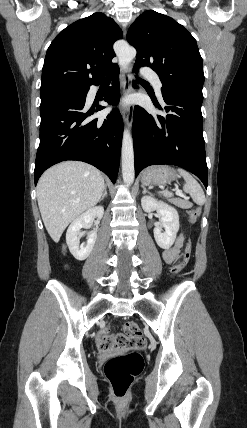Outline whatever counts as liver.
Returning <instances> with one entry per match:
<instances>
[{
    "label": "liver",
    "mask_w": 247,
    "mask_h": 428,
    "mask_svg": "<svg viewBox=\"0 0 247 428\" xmlns=\"http://www.w3.org/2000/svg\"><path fill=\"white\" fill-rule=\"evenodd\" d=\"M104 185L101 172L84 162H62L43 173L37 184V200L54 242L60 240L69 223L98 203Z\"/></svg>",
    "instance_id": "1"
}]
</instances>
